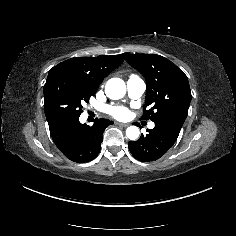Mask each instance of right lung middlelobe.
I'll return each instance as SVG.
<instances>
[{
	"label": "right lung middle lobe",
	"mask_w": 236,
	"mask_h": 236,
	"mask_svg": "<svg viewBox=\"0 0 236 236\" xmlns=\"http://www.w3.org/2000/svg\"><path fill=\"white\" fill-rule=\"evenodd\" d=\"M96 89L81 76L61 70L49 71L44 85V111L49 127L68 122L83 112Z\"/></svg>",
	"instance_id": "dd1d6c3e"
}]
</instances>
